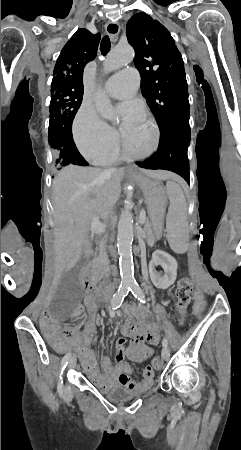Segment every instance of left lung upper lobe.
I'll return each instance as SVG.
<instances>
[{
	"label": "left lung upper lobe",
	"mask_w": 241,
	"mask_h": 450,
	"mask_svg": "<svg viewBox=\"0 0 241 450\" xmlns=\"http://www.w3.org/2000/svg\"><path fill=\"white\" fill-rule=\"evenodd\" d=\"M141 75V92L158 125L189 108L183 59L169 31L145 13L131 17L126 29Z\"/></svg>",
	"instance_id": "5c2ea615"
}]
</instances>
